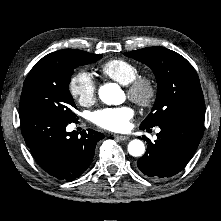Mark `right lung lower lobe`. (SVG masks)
I'll use <instances>...</instances> for the list:
<instances>
[{
    "mask_svg": "<svg viewBox=\"0 0 221 221\" xmlns=\"http://www.w3.org/2000/svg\"><path fill=\"white\" fill-rule=\"evenodd\" d=\"M21 131L38 165L48 174L65 180L79 177L91 164L102 133L88 129L66 132L67 122L54 115L27 111L20 113Z\"/></svg>",
    "mask_w": 221,
    "mask_h": 221,
    "instance_id": "right-lung-lower-lobe-1",
    "label": "right lung lower lobe"
}]
</instances>
